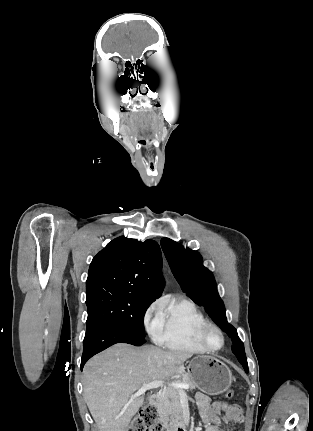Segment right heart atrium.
Segmentation results:
<instances>
[{"mask_svg":"<svg viewBox=\"0 0 313 431\" xmlns=\"http://www.w3.org/2000/svg\"><path fill=\"white\" fill-rule=\"evenodd\" d=\"M162 311L163 301L157 299L146 308L143 315L144 326L153 339H156L162 328Z\"/></svg>","mask_w":313,"mask_h":431,"instance_id":"right-heart-atrium-1","label":"right heart atrium"}]
</instances>
